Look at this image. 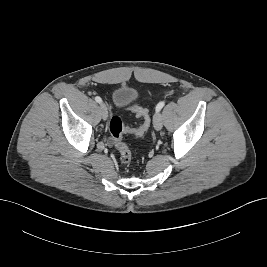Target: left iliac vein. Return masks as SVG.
<instances>
[{"instance_id":"left-iliac-vein-1","label":"left iliac vein","mask_w":267,"mask_h":267,"mask_svg":"<svg viewBox=\"0 0 267 267\" xmlns=\"http://www.w3.org/2000/svg\"><path fill=\"white\" fill-rule=\"evenodd\" d=\"M153 125L156 130H161L163 126L162 115L159 112H156L153 117Z\"/></svg>"}]
</instances>
